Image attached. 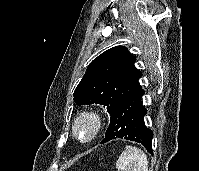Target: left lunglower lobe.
Masks as SVG:
<instances>
[{"instance_id":"left-lung-lower-lobe-1","label":"left lung lower lobe","mask_w":199,"mask_h":171,"mask_svg":"<svg viewBox=\"0 0 199 171\" xmlns=\"http://www.w3.org/2000/svg\"><path fill=\"white\" fill-rule=\"evenodd\" d=\"M143 95L144 90L139 85L121 102L111 114L110 125L101 143L123 138L143 144L149 153L152 154L151 141L153 132L144 123L147 109L142 105Z\"/></svg>"}]
</instances>
